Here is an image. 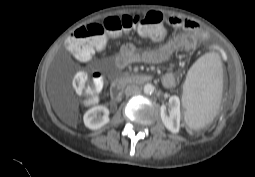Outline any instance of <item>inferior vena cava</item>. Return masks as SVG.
Returning <instances> with one entry per match:
<instances>
[{
  "instance_id": "inferior-vena-cava-1",
  "label": "inferior vena cava",
  "mask_w": 255,
  "mask_h": 177,
  "mask_svg": "<svg viewBox=\"0 0 255 177\" xmlns=\"http://www.w3.org/2000/svg\"><path fill=\"white\" fill-rule=\"evenodd\" d=\"M140 93V88L135 85H129L125 89L126 96L138 95Z\"/></svg>"
}]
</instances>
